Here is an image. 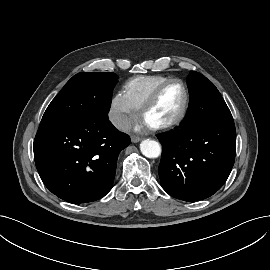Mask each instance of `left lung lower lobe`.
<instances>
[{
    "label": "left lung lower lobe",
    "mask_w": 270,
    "mask_h": 270,
    "mask_svg": "<svg viewBox=\"0 0 270 270\" xmlns=\"http://www.w3.org/2000/svg\"><path fill=\"white\" fill-rule=\"evenodd\" d=\"M158 139L163 146L160 182L169 195L185 201L202 200L227 180L236 153L234 122H197L189 106L180 127Z\"/></svg>",
    "instance_id": "left-lung-lower-lobe-1"
}]
</instances>
